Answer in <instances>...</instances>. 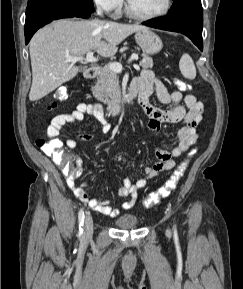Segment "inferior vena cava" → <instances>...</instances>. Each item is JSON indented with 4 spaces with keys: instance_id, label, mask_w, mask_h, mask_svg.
I'll return each mask as SVG.
<instances>
[{
    "instance_id": "1",
    "label": "inferior vena cava",
    "mask_w": 243,
    "mask_h": 289,
    "mask_svg": "<svg viewBox=\"0 0 243 289\" xmlns=\"http://www.w3.org/2000/svg\"><path fill=\"white\" fill-rule=\"evenodd\" d=\"M98 14H99V15H102V11H101L100 8H98Z\"/></svg>"
}]
</instances>
